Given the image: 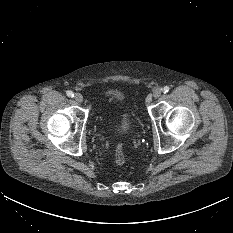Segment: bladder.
<instances>
[{
  "label": "bladder",
  "instance_id": "31cf9c89",
  "mask_svg": "<svg viewBox=\"0 0 233 233\" xmlns=\"http://www.w3.org/2000/svg\"><path fill=\"white\" fill-rule=\"evenodd\" d=\"M108 97L112 100H124V95L120 92H111ZM131 128V118L129 114L124 113L117 123V131L122 134H127Z\"/></svg>",
  "mask_w": 233,
  "mask_h": 233
}]
</instances>
